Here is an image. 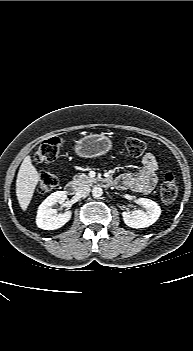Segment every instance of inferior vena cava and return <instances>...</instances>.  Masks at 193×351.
<instances>
[{
  "label": "inferior vena cava",
  "mask_w": 193,
  "mask_h": 351,
  "mask_svg": "<svg viewBox=\"0 0 193 351\" xmlns=\"http://www.w3.org/2000/svg\"><path fill=\"white\" fill-rule=\"evenodd\" d=\"M90 186L87 184H82L80 186L77 187L76 192L79 196L81 197H85L88 196L90 193Z\"/></svg>",
  "instance_id": "1"
}]
</instances>
